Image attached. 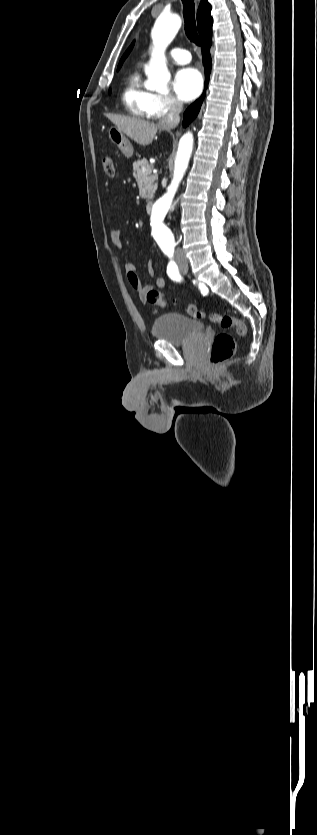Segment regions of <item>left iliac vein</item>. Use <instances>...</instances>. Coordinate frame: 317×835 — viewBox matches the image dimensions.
Listing matches in <instances>:
<instances>
[{"mask_svg": "<svg viewBox=\"0 0 317 835\" xmlns=\"http://www.w3.org/2000/svg\"><path fill=\"white\" fill-rule=\"evenodd\" d=\"M179 268L182 274H187L188 272V263L186 259H182L179 263Z\"/></svg>", "mask_w": 317, "mask_h": 835, "instance_id": "obj_1", "label": "left iliac vein"}]
</instances>
